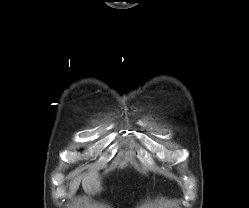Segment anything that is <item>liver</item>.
Wrapping results in <instances>:
<instances>
[{"mask_svg":"<svg viewBox=\"0 0 249 208\" xmlns=\"http://www.w3.org/2000/svg\"><path fill=\"white\" fill-rule=\"evenodd\" d=\"M80 183L85 192L100 191V180L98 178V172L91 170L88 173L74 177L69 183L70 194L73 195L78 190Z\"/></svg>","mask_w":249,"mask_h":208,"instance_id":"obj_1","label":"liver"}]
</instances>
